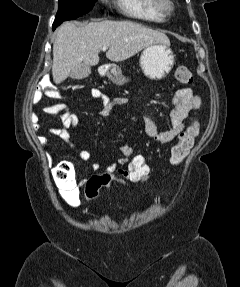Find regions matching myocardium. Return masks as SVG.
<instances>
[{
	"mask_svg": "<svg viewBox=\"0 0 240 287\" xmlns=\"http://www.w3.org/2000/svg\"><path fill=\"white\" fill-rule=\"evenodd\" d=\"M155 8L162 15H170L175 10V5L172 0H154Z\"/></svg>",
	"mask_w": 240,
	"mask_h": 287,
	"instance_id": "f54148a6",
	"label": "myocardium"
}]
</instances>
